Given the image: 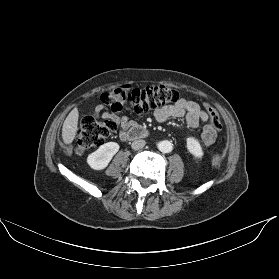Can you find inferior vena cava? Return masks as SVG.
<instances>
[{"mask_svg": "<svg viewBox=\"0 0 279 279\" xmlns=\"http://www.w3.org/2000/svg\"><path fill=\"white\" fill-rule=\"evenodd\" d=\"M145 140L139 139L132 142L131 147L134 150H139L145 146Z\"/></svg>", "mask_w": 279, "mask_h": 279, "instance_id": "602c4592", "label": "inferior vena cava"}]
</instances>
